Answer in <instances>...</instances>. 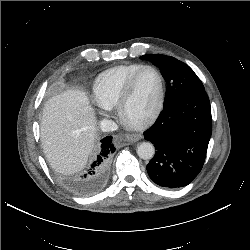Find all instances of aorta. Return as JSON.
Instances as JSON below:
<instances>
[{"label":"aorta","mask_w":250,"mask_h":250,"mask_svg":"<svg viewBox=\"0 0 250 250\" xmlns=\"http://www.w3.org/2000/svg\"><path fill=\"white\" fill-rule=\"evenodd\" d=\"M137 154L141 159H152L155 154V148L150 142H142L137 146Z\"/></svg>","instance_id":"obj_1"}]
</instances>
